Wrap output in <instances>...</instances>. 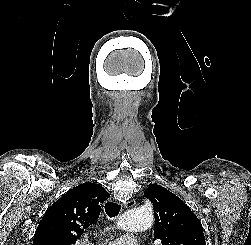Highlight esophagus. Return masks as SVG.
Segmentation results:
<instances>
[{"instance_id": "esophagus-1", "label": "esophagus", "mask_w": 251, "mask_h": 245, "mask_svg": "<svg viewBox=\"0 0 251 245\" xmlns=\"http://www.w3.org/2000/svg\"><path fill=\"white\" fill-rule=\"evenodd\" d=\"M135 205V200L134 199H130L129 201H127L125 204H124V207L125 208H130V207H133Z\"/></svg>"}]
</instances>
